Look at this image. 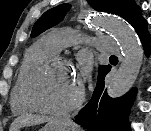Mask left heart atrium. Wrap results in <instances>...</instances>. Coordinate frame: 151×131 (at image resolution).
I'll return each mask as SVG.
<instances>
[{
  "label": "left heart atrium",
  "mask_w": 151,
  "mask_h": 131,
  "mask_svg": "<svg viewBox=\"0 0 151 131\" xmlns=\"http://www.w3.org/2000/svg\"><path fill=\"white\" fill-rule=\"evenodd\" d=\"M90 73V67L88 66V63L87 62H83L82 64V71H81V74H80V79L83 80V78L87 75H89Z\"/></svg>",
  "instance_id": "1"
}]
</instances>
